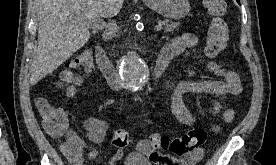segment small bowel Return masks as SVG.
<instances>
[{"label":"small bowel","instance_id":"1","mask_svg":"<svg viewBox=\"0 0 276 165\" xmlns=\"http://www.w3.org/2000/svg\"><path fill=\"white\" fill-rule=\"evenodd\" d=\"M198 38L195 34L186 32L177 37H174L168 44H166L160 55L166 57L169 62L176 58H184L189 55L190 50L196 47ZM206 67L209 72L213 73L220 79L218 80H185L179 83H174L172 80L166 82V87L171 92V111L176 119L183 125L191 126L195 119L192 113L187 108L184 102V95L188 93L197 94H211L219 96L224 99L230 95H238L242 91V84L240 77L234 71L226 69L214 61H208ZM220 109V103L215 105V110ZM234 117V111L227 109L223 113V118L229 122ZM83 127L85 129V137H82L75 130H68L67 136L69 139L78 144L76 153L69 154L65 152L73 165H86L90 160L97 156V151L94 145L101 143L107 133V122L104 118L87 117L83 120ZM216 130V128H214ZM142 140L140 144L144 143ZM88 144L90 151L87 155L83 154L84 146ZM142 156H145L151 163L155 165H194L202 155L200 150H197L184 158L177 159L168 154L157 153L155 159H149L148 156L139 149ZM64 150V149H63ZM123 158L122 150H117L108 161V165H117Z\"/></svg>","mask_w":276,"mask_h":165}]
</instances>
